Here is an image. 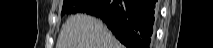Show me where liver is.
<instances>
[{
	"label": "liver",
	"instance_id": "obj_1",
	"mask_svg": "<svg viewBox=\"0 0 213 48\" xmlns=\"http://www.w3.org/2000/svg\"><path fill=\"white\" fill-rule=\"evenodd\" d=\"M56 48H124L100 19L76 14L63 24Z\"/></svg>",
	"mask_w": 213,
	"mask_h": 48
}]
</instances>
